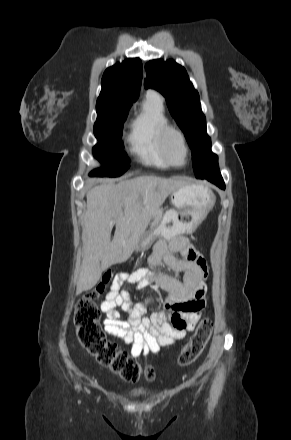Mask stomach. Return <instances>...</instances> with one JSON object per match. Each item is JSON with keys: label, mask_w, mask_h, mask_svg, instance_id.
<instances>
[{"label": "stomach", "mask_w": 291, "mask_h": 440, "mask_svg": "<svg viewBox=\"0 0 291 440\" xmlns=\"http://www.w3.org/2000/svg\"><path fill=\"white\" fill-rule=\"evenodd\" d=\"M215 201L214 193L207 186L183 183L171 193V202L175 209L166 212L158 228L144 237L141 247H148L157 236L168 239L189 233L204 220Z\"/></svg>", "instance_id": "1"}]
</instances>
